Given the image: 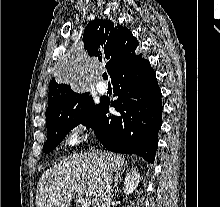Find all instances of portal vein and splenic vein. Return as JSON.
I'll return each mask as SVG.
<instances>
[{
  "mask_svg": "<svg viewBox=\"0 0 220 207\" xmlns=\"http://www.w3.org/2000/svg\"><path fill=\"white\" fill-rule=\"evenodd\" d=\"M91 200L88 197L81 199V207H90Z\"/></svg>",
  "mask_w": 220,
  "mask_h": 207,
  "instance_id": "1",
  "label": "portal vein and splenic vein"
}]
</instances>
